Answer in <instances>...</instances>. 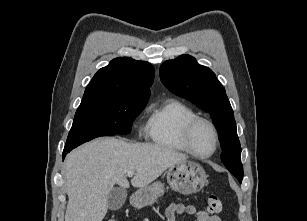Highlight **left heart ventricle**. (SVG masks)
<instances>
[{
	"label": "left heart ventricle",
	"instance_id": "obj_1",
	"mask_svg": "<svg viewBox=\"0 0 307 221\" xmlns=\"http://www.w3.org/2000/svg\"><path fill=\"white\" fill-rule=\"evenodd\" d=\"M194 149L201 154H208L214 148V136L211 129L203 124H198L191 136Z\"/></svg>",
	"mask_w": 307,
	"mask_h": 221
}]
</instances>
